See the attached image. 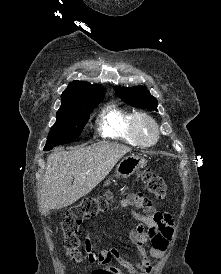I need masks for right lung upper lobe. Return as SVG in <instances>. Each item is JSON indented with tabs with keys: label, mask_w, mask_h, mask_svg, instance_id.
I'll return each instance as SVG.
<instances>
[{
	"label": "right lung upper lobe",
	"mask_w": 221,
	"mask_h": 274,
	"mask_svg": "<svg viewBox=\"0 0 221 274\" xmlns=\"http://www.w3.org/2000/svg\"><path fill=\"white\" fill-rule=\"evenodd\" d=\"M101 85H91L86 81H73L62 93V103L74 102L83 97H90L105 94Z\"/></svg>",
	"instance_id": "obj_1"
}]
</instances>
